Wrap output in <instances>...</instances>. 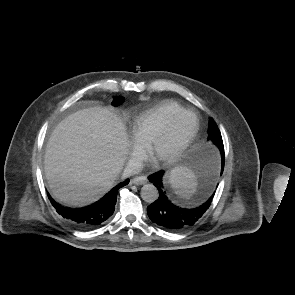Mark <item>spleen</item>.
<instances>
[{"mask_svg": "<svg viewBox=\"0 0 295 295\" xmlns=\"http://www.w3.org/2000/svg\"><path fill=\"white\" fill-rule=\"evenodd\" d=\"M170 183L181 197L189 198L196 191L198 185L196 174L183 167H177L171 171Z\"/></svg>", "mask_w": 295, "mask_h": 295, "instance_id": "spleen-1", "label": "spleen"}]
</instances>
